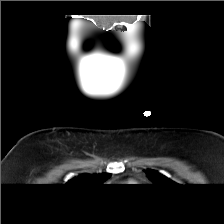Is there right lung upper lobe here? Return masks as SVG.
I'll list each match as a JSON object with an SVG mask.
<instances>
[{
    "label": "right lung upper lobe",
    "mask_w": 224,
    "mask_h": 224,
    "mask_svg": "<svg viewBox=\"0 0 224 224\" xmlns=\"http://www.w3.org/2000/svg\"><path fill=\"white\" fill-rule=\"evenodd\" d=\"M110 177V174L90 175L84 174L73 178L68 182L71 186H93L105 182Z\"/></svg>",
    "instance_id": "right-lung-upper-lobe-1"
}]
</instances>
